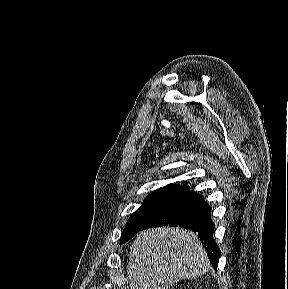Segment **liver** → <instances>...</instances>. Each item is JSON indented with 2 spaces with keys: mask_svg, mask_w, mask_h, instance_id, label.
Instances as JSON below:
<instances>
[{
  "mask_svg": "<svg viewBox=\"0 0 288 289\" xmlns=\"http://www.w3.org/2000/svg\"><path fill=\"white\" fill-rule=\"evenodd\" d=\"M210 264L199 238L182 228L141 232L129 253L130 289H168L184 278H197Z\"/></svg>",
  "mask_w": 288,
  "mask_h": 289,
  "instance_id": "obj_1",
  "label": "liver"
}]
</instances>
